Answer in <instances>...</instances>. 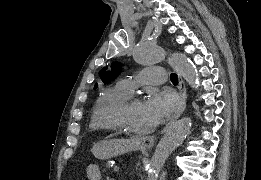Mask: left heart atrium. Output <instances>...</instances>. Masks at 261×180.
Here are the masks:
<instances>
[{"instance_id": "39dd6f15", "label": "left heart atrium", "mask_w": 261, "mask_h": 180, "mask_svg": "<svg viewBox=\"0 0 261 180\" xmlns=\"http://www.w3.org/2000/svg\"><path fill=\"white\" fill-rule=\"evenodd\" d=\"M144 105L154 121L158 122L179 108L180 98L170 89H154L144 101Z\"/></svg>"}]
</instances>
